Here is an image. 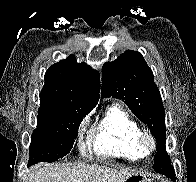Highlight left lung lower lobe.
<instances>
[{"mask_svg":"<svg viewBox=\"0 0 196 182\" xmlns=\"http://www.w3.org/2000/svg\"><path fill=\"white\" fill-rule=\"evenodd\" d=\"M160 161L167 162V161H170V159H169V157L167 155H163L162 156V160H160ZM173 181H175V180H173Z\"/></svg>","mask_w":196,"mask_h":182,"instance_id":"obj_1","label":"left lung lower lobe"}]
</instances>
